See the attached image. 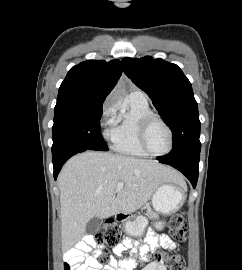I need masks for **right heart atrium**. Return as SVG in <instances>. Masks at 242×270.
<instances>
[{"label":"right heart atrium","mask_w":242,"mask_h":270,"mask_svg":"<svg viewBox=\"0 0 242 270\" xmlns=\"http://www.w3.org/2000/svg\"><path fill=\"white\" fill-rule=\"evenodd\" d=\"M117 110V103L114 99H109V101L105 104L103 110V126L108 129L113 125L114 122V114Z\"/></svg>","instance_id":"obj_1"}]
</instances>
